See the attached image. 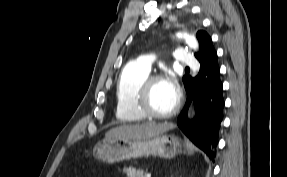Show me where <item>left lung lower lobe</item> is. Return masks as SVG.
<instances>
[{"instance_id": "0a47b994", "label": "left lung lower lobe", "mask_w": 287, "mask_h": 177, "mask_svg": "<svg viewBox=\"0 0 287 177\" xmlns=\"http://www.w3.org/2000/svg\"><path fill=\"white\" fill-rule=\"evenodd\" d=\"M196 58L201 64L200 71L194 79L183 77L187 101L177 119V124L187 137L213 160L223 120L224 99L217 53L212 40L208 42L204 52ZM193 101L196 116L192 121H188L187 113Z\"/></svg>"}]
</instances>
